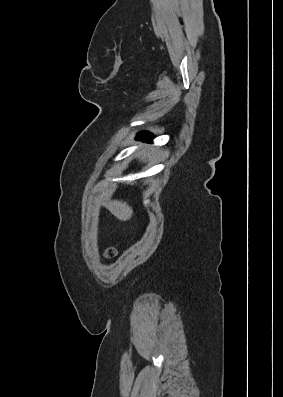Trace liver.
I'll return each instance as SVG.
<instances>
[{"mask_svg": "<svg viewBox=\"0 0 283 397\" xmlns=\"http://www.w3.org/2000/svg\"><path fill=\"white\" fill-rule=\"evenodd\" d=\"M149 152H144V156L142 158H146L149 156ZM105 207L120 221H127L132 217L133 210L132 208L123 201L113 200L105 204Z\"/></svg>", "mask_w": 283, "mask_h": 397, "instance_id": "1", "label": "liver"}]
</instances>
